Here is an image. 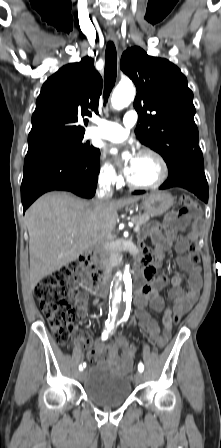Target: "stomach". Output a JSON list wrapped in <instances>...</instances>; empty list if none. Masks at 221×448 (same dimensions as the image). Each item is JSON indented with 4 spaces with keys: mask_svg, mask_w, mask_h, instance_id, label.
<instances>
[{
    "mask_svg": "<svg viewBox=\"0 0 221 448\" xmlns=\"http://www.w3.org/2000/svg\"><path fill=\"white\" fill-rule=\"evenodd\" d=\"M141 206L151 216H160L174 204L172 195L165 191H155L140 197ZM137 206V205H136Z\"/></svg>",
    "mask_w": 221,
    "mask_h": 448,
    "instance_id": "obj_1",
    "label": "stomach"
}]
</instances>
